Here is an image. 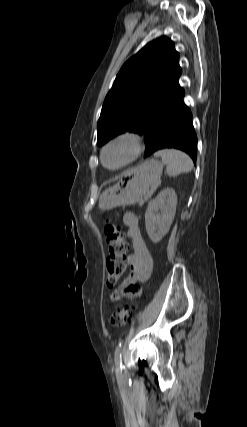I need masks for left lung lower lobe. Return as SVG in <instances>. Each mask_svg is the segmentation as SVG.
<instances>
[{
    "instance_id": "0a47b994",
    "label": "left lung lower lobe",
    "mask_w": 247,
    "mask_h": 427,
    "mask_svg": "<svg viewBox=\"0 0 247 427\" xmlns=\"http://www.w3.org/2000/svg\"><path fill=\"white\" fill-rule=\"evenodd\" d=\"M184 92L162 110L148 125L145 157L165 148L186 152L193 160L197 158V137L192 123V114L183 102Z\"/></svg>"
}]
</instances>
